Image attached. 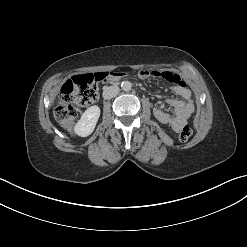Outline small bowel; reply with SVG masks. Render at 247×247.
<instances>
[{
  "label": "small bowel",
  "instance_id": "1",
  "mask_svg": "<svg viewBox=\"0 0 247 247\" xmlns=\"http://www.w3.org/2000/svg\"><path fill=\"white\" fill-rule=\"evenodd\" d=\"M123 76L124 75L121 73H112L108 78V81H116ZM139 76L141 78L159 77L173 84V91L182 98V100H168V103L174 108V115L172 116L160 108H154L153 114L158 121L170 125L175 132H179L194 111L192 94L188 89L186 82L178 74L166 70H142L139 72Z\"/></svg>",
  "mask_w": 247,
  "mask_h": 247
}]
</instances>
